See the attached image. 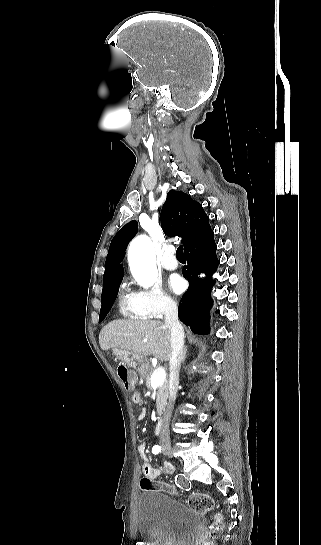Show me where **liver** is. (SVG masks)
Returning a JSON list of instances; mask_svg holds the SVG:
<instances>
[{"label":"liver","instance_id":"obj_1","mask_svg":"<svg viewBox=\"0 0 321 545\" xmlns=\"http://www.w3.org/2000/svg\"><path fill=\"white\" fill-rule=\"evenodd\" d=\"M99 345L102 351H109L113 347L142 357L153 355L159 361L171 359L170 327L161 321H111L101 329Z\"/></svg>","mask_w":321,"mask_h":545}]
</instances>
